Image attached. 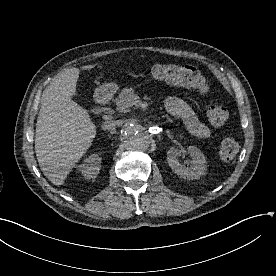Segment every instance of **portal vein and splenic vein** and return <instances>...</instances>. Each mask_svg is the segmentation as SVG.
Here are the masks:
<instances>
[{
    "mask_svg": "<svg viewBox=\"0 0 276 276\" xmlns=\"http://www.w3.org/2000/svg\"><path fill=\"white\" fill-rule=\"evenodd\" d=\"M138 100H139L138 96H134V97L130 98L127 102V106L130 107V106L135 105L138 102Z\"/></svg>",
    "mask_w": 276,
    "mask_h": 276,
    "instance_id": "1",
    "label": "portal vein and splenic vein"
}]
</instances>
